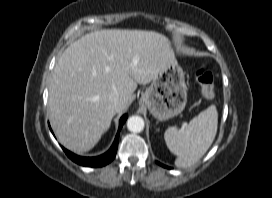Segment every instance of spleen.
Returning <instances> with one entry per match:
<instances>
[{
    "mask_svg": "<svg viewBox=\"0 0 272 198\" xmlns=\"http://www.w3.org/2000/svg\"><path fill=\"white\" fill-rule=\"evenodd\" d=\"M218 125V113L215 105L209 106L194 117L185 129L169 127L164 133L168 149L177 156V167L195 164L213 143Z\"/></svg>",
    "mask_w": 272,
    "mask_h": 198,
    "instance_id": "obj_1",
    "label": "spleen"
}]
</instances>
